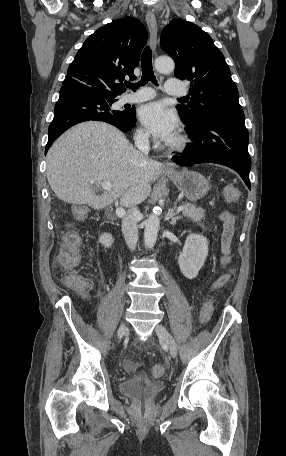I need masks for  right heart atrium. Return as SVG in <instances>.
<instances>
[{
	"label": "right heart atrium",
	"instance_id": "obj_1",
	"mask_svg": "<svg viewBox=\"0 0 286 456\" xmlns=\"http://www.w3.org/2000/svg\"><path fill=\"white\" fill-rule=\"evenodd\" d=\"M136 137H137V140L140 142H146L149 139L148 133L142 128L138 129Z\"/></svg>",
	"mask_w": 286,
	"mask_h": 456
}]
</instances>
